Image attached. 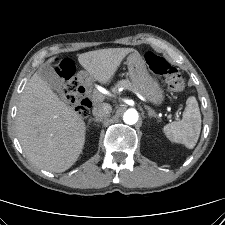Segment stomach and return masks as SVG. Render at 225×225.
I'll return each mask as SVG.
<instances>
[{
    "instance_id": "obj_1",
    "label": "stomach",
    "mask_w": 225,
    "mask_h": 225,
    "mask_svg": "<svg viewBox=\"0 0 225 225\" xmlns=\"http://www.w3.org/2000/svg\"><path fill=\"white\" fill-rule=\"evenodd\" d=\"M127 65L133 87L151 104L161 105L165 98L164 90L148 72L143 57L135 51L127 57Z\"/></svg>"
}]
</instances>
